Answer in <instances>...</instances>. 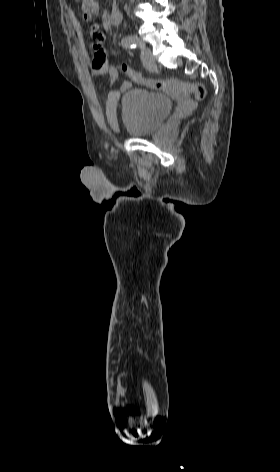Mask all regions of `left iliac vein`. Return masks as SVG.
<instances>
[{
	"label": "left iliac vein",
	"mask_w": 280,
	"mask_h": 472,
	"mask_svg": "<svg viewBox=\"0 0 280 472\" xmlns=\"http://www.w3.org/2000/svg\"><path fill=\"white\" fill-rule=\"evenodd\" d=\"M140 57L145 68L152 69L156 67L155 58L149 48L141 47Z\"/></svg>",
	"instance_id": "1"
}]
</instances>
